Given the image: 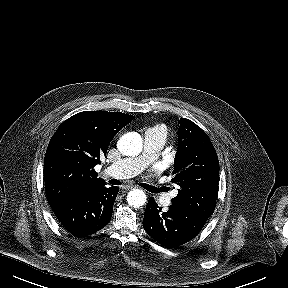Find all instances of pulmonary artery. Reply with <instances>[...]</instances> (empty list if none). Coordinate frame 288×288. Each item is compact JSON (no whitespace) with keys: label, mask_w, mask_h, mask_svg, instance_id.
Segmentation results:
<instances>
[{"label":"pulmonary artery","mask_w":288,"mask_h":288,"mask_svg":"<svg viewBox=\"0 0 288 288\" xmlns=\"http://www.w3.org/2000/svg\"><path fill=\"white\" fill-rule=\"evenodd\" d=\"M165 143L166 133L162 127L156 126L148 129L144 135L143 152L137 157L122 159L112 163L108 167V174L114 178L121 179L139 174L157 158ZM175 194L176 193L171 195H163L161 197L162 205L165 207L170 206L172 197Z\"/></svg>","instance_id":"1"}]
</instances>
